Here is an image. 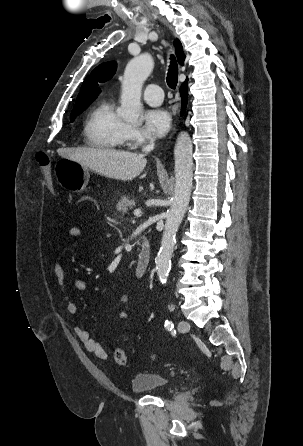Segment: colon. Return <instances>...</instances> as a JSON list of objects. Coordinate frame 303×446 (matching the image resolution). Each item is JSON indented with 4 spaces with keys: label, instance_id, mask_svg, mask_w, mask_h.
Masks as SVG:
<instances>
[{
    "label": "colon",
    "instance_id": "obj_1",
    "mask_svg": "<svg viewBox=\"0 0 303 446\" xmlns=\"http://www.w3.org/2000/svg\"><path fill=\"white\" fill-rule=\"evenodd\" d=\"M36 160L44 174V177L46 180V186H47L48 190L52 194H56L57 189H56L55 182L53 180L51 160H50L49 156L46 153L39 152L36 155ZM152 358H155V356L152 355ZM114 359H115L116 363L121 366H125L127 364V355L121 349H116L114 351Z\"/></svg>",
    "mask_w": 303,
    "mask_h": 446
}]
</instances>
